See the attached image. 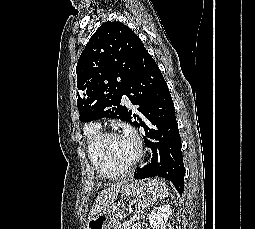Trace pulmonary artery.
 Returning <instances> with one entry per match:
<instances>
[{
    "mask_svg": "<svg viewBox=\"0 0 255 229\" xmlns=\"http://www.w3.org/2000/svg\"><path fill=\"white\" fill-rule=\"evenodd\" d=\"M122 101L127 106H131V102H130V100H129V98L127 96H123Z\"/></svg>",
    "mask_w": 255,
    "mask_h": 229,
    "instance_id": "obj_1",
    "label": "pulmonary artery"
}]
</instances>
